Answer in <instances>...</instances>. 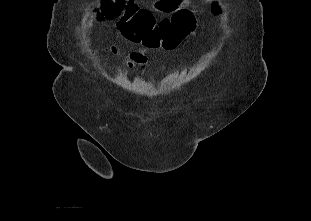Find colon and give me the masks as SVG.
Segmentation results:
<instances>
[{
    "label": "colon",
    "mask_w": 311,
    "mask_h": 221,
    "mask_svg": "<svg viewBox=\"0 0 311 221\" xmlns=\"http://www.w3.org/2000/svg\"><path fill=\"white\" fill-rule=\"evenodd\" d=\"M209 2V8L213 9L214 16L222 17V7L212 0ZM102 7L108 10L99 11L101 22H111L113 17H119L121 25L118 30L123 32V39H133L137 43L144 44L146 48L172 50L196 29L192 14L187 11L176 12L171 18H163L157 24L149 10L140 8L131 0L103 1Z\"/></svg>",
    "instance_id": "1"
}]
</instances>
